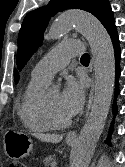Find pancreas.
Segmentation results:
<instances>
[{"label":"pancreas","instance_id":"1","mask_svg":"<svg viewBox=\"0 0 125 167\" xmlns=\"http://www.w3.org/2000/svg\"><path fill=\"white\" fill-rule=\"evenodd\" d=\"M54 160H55V157H54V156H49V157L44 158L43 163H44L45 166L48 167V166L51 165V163H52Z\"/></svg>","mask_w":125,"mask_h":167}]
</instances>
